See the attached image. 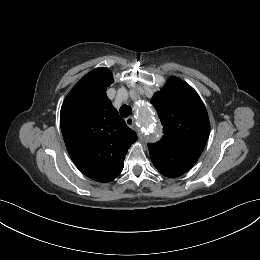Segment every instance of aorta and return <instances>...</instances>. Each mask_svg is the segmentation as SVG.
Returning <instances> with one entry per match:
<instances>
[{
    "instance_id": "aorta-1",
    "label": "aorta",
    "mask_w": 260,
    "mask_h": 260,
    "mask_svg": "<svg viewBox=\"0 0 260 260\" xmlns=\"http://www.w3.org/2000/svg\"><path fill=\"white\" fill-rule=\"evenodd\" d=\"M138 118L141 122L142 133L149 139L156 138L157 132L155 128V118L152 108L144 104L143 107H139Z\"/></svg>"
}]
</instances>
